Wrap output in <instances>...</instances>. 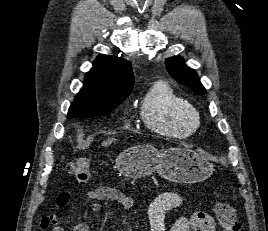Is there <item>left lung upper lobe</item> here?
Instances as JSON below:
<instances>
[{
	"instance_id": "1",
	"label": "left lung upper lobe",
	"mask_w": 268,
	"mask_h": 231,
	"mask_svg": "<svg viewBox=\"0 0 268 231\" xmlns=\"http://www.w3.org/2000/svg\"><path fill=\"white\" fill-rule=\"evenodd\" d=\"M169 74L179 83L193 88L199 94H205L206 90L202 86L195 70L184 65V60L180 57L169 58L165 61Z\"/></svg>"
}]
</instances>
